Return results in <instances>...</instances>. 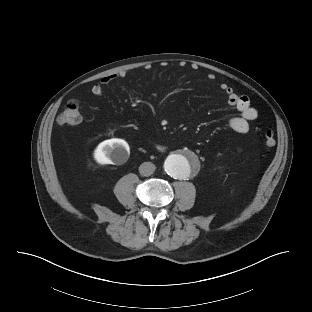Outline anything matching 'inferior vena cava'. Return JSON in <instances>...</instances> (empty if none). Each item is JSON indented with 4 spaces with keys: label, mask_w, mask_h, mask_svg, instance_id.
<instances>
[{
    "label": "inferior vena cava",
    "mask_w": 312,
    "mask_h": 312,
    "mask_svg": "<svg viewBox=\"0 0 312 312\" xmlns=\"http://www.w3.org/2000/svg\"><path fill=\"white\" fill-rule=\"evenodd\" d=\"M156 166L152 162H144L139 167V173L142 176H150L155 171Z\"/></svg>",
    "instance_id": "602c4592"
}]
</instances>
